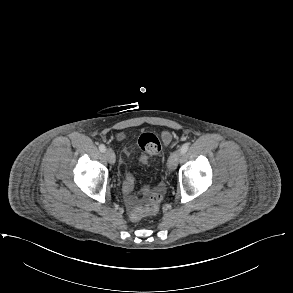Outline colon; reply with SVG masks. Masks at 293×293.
I'll return each mask as SVG.
<instances>
[{
    "instance_id": "colon-1",
    "label": "colon",
    "mask_w": 293,
    "mask_h": 293,
    "mask_svg": "<svg viewBox=\"0 0 293 293\" xmlns=\"http://www.w3.org/2000/svg\"><path fill=\"white\" fill-rule=\"evenodd\" d=\"M139 146L143 150V160L155 156L160 153L162 149L161 141L152 132H144L139 137ZM134 185L132 176H128L124 183V192L130 194ZM131 196V195H130ZM147 200L150 206L146 209L137 205L132 198V208L130 210V219L132 221L140 220L145 214H153L157 211L159 204L162 201L161 189L155 187L152 183H145L141 189L139 201Z\"/></svg>"
}]
</instances>
